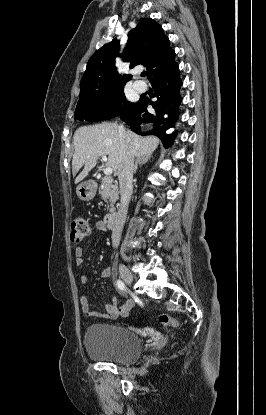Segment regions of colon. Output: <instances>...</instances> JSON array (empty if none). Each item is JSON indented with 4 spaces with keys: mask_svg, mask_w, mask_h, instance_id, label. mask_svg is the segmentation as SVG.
<instances>
[{
    "mask_svg": "<svg viewBox=\"0 0 266 415\" xmlns=\"http://www.w3.org/2000/svg\"><path fill=\"white\" fill-rule=\"evenodd\" d=\"M90 230V224L84 217H74L70 224L71 242L74 245L80 244L90 234ZM160 321L167 326H178V321L167 313L160 315Z\"/></svg>",
    "mask_w": 266,
    "mask_h": 415,
    "instance_id": "1",
    "label": "colon"
}]
</instances>
